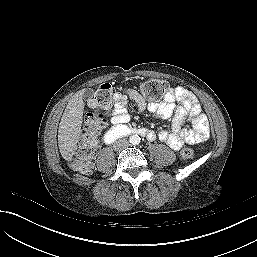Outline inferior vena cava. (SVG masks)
Returning a JSON list of instances; mask_svg holds the SVG:
<instances>
[{"mask_svg":"<svg viewBox=\"0 0 257 257\" xmlns=\"http://www.w3.org/2000/svg\"><path fill=\"white\" fill-rule=\"evenodd\" d=\"M128 146H129V142L125 138L118 139L113 144V148L115 151L123 150V149L127 148Z\"/></svg>","mask_w":257,"mask_h":257,"instance_id":"inferior-vena-cava-1","label":"inferior vena cava"}]
</instances>
